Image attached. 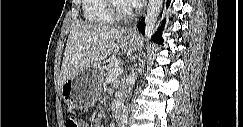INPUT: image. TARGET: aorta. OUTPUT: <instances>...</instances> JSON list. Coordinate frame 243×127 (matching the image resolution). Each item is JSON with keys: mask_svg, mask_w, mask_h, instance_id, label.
Masks as SVG:
<instances>
[{"mask_svg": "<svg viewBox=\"0 0 243 127\" xmlns=\"http://www.w3.org/2000/svg\"><path fill=\"white\" fill-rule=\"evenodd\" d=\"M163 0H149L147 14L145 18V37L148 40L155 28ZM141 69L139 68L138 71ZM128 107H125L121 115V127H126L128 123Z\"/></svg>", "mask_w": 243, "mask_h": 127, "instance_id": "obj_1", "label": "aorta"}]
</instances>
